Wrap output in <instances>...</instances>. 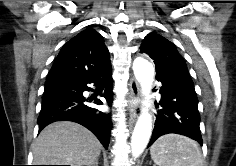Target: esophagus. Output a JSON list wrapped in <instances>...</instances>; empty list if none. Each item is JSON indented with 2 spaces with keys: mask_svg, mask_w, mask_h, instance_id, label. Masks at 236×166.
I'll use <instances>...</instances> for the list:
<instances>
[{
  "mask_svg": "<svg viewBox=\"0 0 236 166\" xmlns=\"http://www.w3.org/2000/svg\"><path fill=\"white\" fill-rule=\"evenodd\" d=\"M139 94H140L139 84L135 79H131L128 102H129L130 121L132 122L136 120V118L140 113V105L138 103Z\"/></svg>",
  "mask_w": 236,
  "mask_h": 166,
  "instance_id": "1",
  "label": "esophagus"
}]
</instances>
